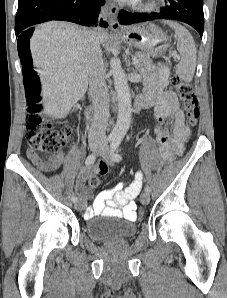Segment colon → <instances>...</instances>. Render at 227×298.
<instances>
[{"label":"colon","instance_id":"5ec220e1","mask_svg":"<svg viewBox=\"0 0 227 298\" xmlns=\"http://www.w3.org/2000/svg\"><path fill=\"white\" fill-rule=\"evenodd\" d=\"M171 83L183 101L189 124L196 125L200 112L192 86L176 75L171 77ZM24 89L28 104L25 136L29 147L43 153L59 154L72 140V133L69 129H55L50 123L45 122L42 116L43 88L37 72L31 66H28L24 73ZM99 172L101 174L107 172L104 163H100ZM89 184L93 188L97 187L99 185L98 178L92 177ZM144 212V208L139 209V218H144Z\"/></svg>","mask_w":227,"mask_h":298}]
</instances>
